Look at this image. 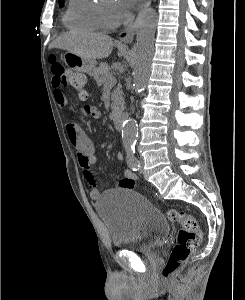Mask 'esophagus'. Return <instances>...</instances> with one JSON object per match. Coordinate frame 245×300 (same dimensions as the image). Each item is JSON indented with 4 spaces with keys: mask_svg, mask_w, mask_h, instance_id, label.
<instances>
[{
    "mask_svg": "<svg viewBox=\"0 0 245 300\" xmlns=\"http://www.w3.org/2000/svg\"><path fill=\"white\" fill-rule=\"evenodd\" d=\"M151 1L152 0H144L140 9H139V12H138V15L135 19V21L133 23H131L126 29H124L120 34H119V39L123 42H131L133 41L134 39V36H135V33H136V30H137V26H138V22L140 20V16L142 14V12L148 8L151 4Z\"/></svg>",
    "mask_w": 245,
    "mask_h": 300,
    "instance_id": "esophagus-1",
    "label": "esophagus"
}]
</instances>
